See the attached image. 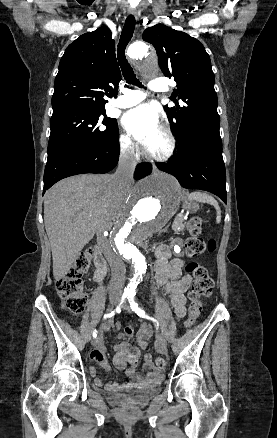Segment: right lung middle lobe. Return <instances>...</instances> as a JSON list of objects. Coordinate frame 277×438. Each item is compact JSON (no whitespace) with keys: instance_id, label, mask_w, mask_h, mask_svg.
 <instances>
[{"instance_id":"dd1d6c3e","label":"right lung middle lobe","mask_w":277,"mask_h":438,"mask_svg":"<svg viewBox=\"0 0 277 438\" xmlns=\"http://www.w3.org/2000/svg\"><path fill=\"white\" fill-rule=\"evenodd\" d=\"M48 159L73 150L113 144L118 138L117 120L102 112L52 116Z\"/></svg>"}]
</instances>
